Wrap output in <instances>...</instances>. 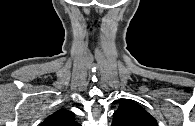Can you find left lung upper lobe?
<instances>
[{
    "label": "left lung upper lobe",
    "mask_w": 195,
    "mask_h": 126,
    "mask_svg": "<svg viewBox=\"0 0 195 126\" xmlns=\"http://www.w3.org/2000/svg\"><path fill=\"white\" fill-rule=\"evenodd\" d=\"M112 126H158L156 119L138 103L125 100L113 114Z\"/></svg>",
    "instance_id": "obj_1"
}]
</instances>
